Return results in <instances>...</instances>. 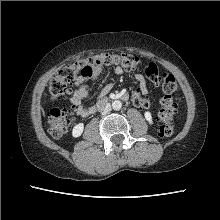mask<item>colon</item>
I'll use <instances>...</instances> for the list:
<instances>
[{"label": "colon", "instance_id": "obj_1", "mask_svg": "<svg viewBox=\"0 0 220 220\" xmlns=\"http://www.w3.org/2000/svg\"><path fill=\"white\" fill-rule=\"evenodd\" d=\"M141 65L139 57L132 54L105 53L78 60L61 67L49 82L48 92L52 101L66 99L70 96L71 85L79 75H86L90 70L109 66H118L127 71H134ZM146 77L154 84H159L164 96L160 100L161 107L158 117L161 125L159 134L170 137L174 133L173 119L177 105L172 97L178 89L176 78L170 73H159L158 66L150 62L145 66ZM73 119L70 109L54 107L49 112V129L55 138L62 137L68 130Z\"/></svg>", "mask_w": 220, "mask_h": 220}]
</instances>
